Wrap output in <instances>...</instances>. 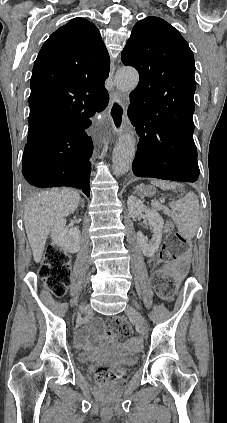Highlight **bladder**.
Returning <instances> with one entry per match:
<instances>
[{
    "mask_svg": "<svg viewBox=\"0 0 227 423\" xmlns=\"http://www.w3.org/2000/svg\"><path fill=\"white\" fill-rule=\"evenodd\" d=\"M78 363L81 366L90 365L95 362L106 361L119 368L135 366L139 362V355L132 351H125L116 356H106L95 354L93 351L81 352L77 356Z\"/></svg>",
    "mask_w": 227,
    "mask_h": 423,
    "instance_id": "31cf9c89",
    "label": "bladder"
}]
</instances>
